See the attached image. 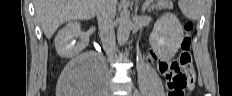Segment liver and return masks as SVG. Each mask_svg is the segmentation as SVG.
Returning a JSON list of instances; mask_svg holds the SVG:
<instances>
[{
    "label": "liver",
    "mask_w": 232,
    "mask_h": 96,
    "mask_svg": "<svg viewBox=\"0 0 232 96\" xmlns=\"http://www.w3.org/2000/svg\"><path fill=\"white\" fill-rule=\"evenodd\" d=\"M99 0H34L35 11L45 36L50 39L66 21L89 20L97 14Z\"/></svg>",
    "instance_id": "6515ba94"
}]
</instances>
